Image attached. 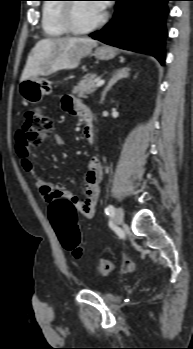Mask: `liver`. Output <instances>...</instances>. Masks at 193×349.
I'll use <instances>...</instances> for the list:
<instances>
[{"label": "liver", "instance_id": "obj_1", "mask_svg": "<svg viewBox=\"0 0 193 349\" xmlns=\"http://www.w3.org/2000/svg\"><path fill=\"white\" fill-rule=\"evenodd\" d=\"M97 41L89 38H46L31 50L20 81L30 77L50 75L62 69H74L91 53Z\"/></svg>", "mask_w": 193, "mask_h": 349}]
</instances>
